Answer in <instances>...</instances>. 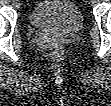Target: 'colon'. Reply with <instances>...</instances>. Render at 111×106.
Masks as SVG:
<instances>
[{
    "instance_id": "1",
    "label": "colon",
    "mask_w": 111,
    "mask_h": 106,
    "mask_svg": "<svg viewBox=\"0 0 111 106\" xmlns=\"http://www.w3.org/2000/svg\"><path fill=\"white\" fill-rule=\"evenodd\" d=\"M63 52L61 50H55L52 54L54 60H60L62 58Z\"/></svg>"
}]
</instances>
